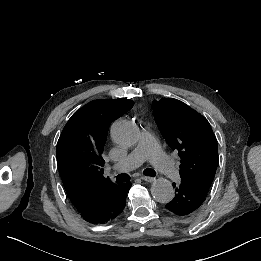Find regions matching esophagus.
<instances>
[{
  "label": "esophagus",
  "instance_id": "1",
  "mask_svg": "<svg viewBox=\"0 0 261 261\" xmlns=\"http://www.w3.org/2000/svg\"><path fill=\"white\" fill-rule=\"evenodd\" d=\"M142 179L146 182H154L156 178L150 176H143Z\"/></svg>",
  "mask_w": 261,
  "mask_h": 261
}]
</instances>
